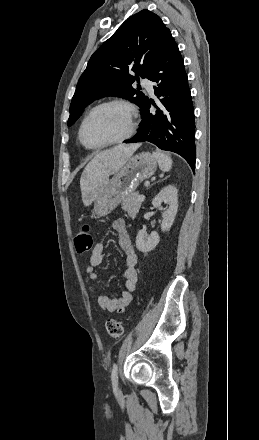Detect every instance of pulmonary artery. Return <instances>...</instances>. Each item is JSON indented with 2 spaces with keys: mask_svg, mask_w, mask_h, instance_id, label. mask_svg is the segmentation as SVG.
<instances>
[{
  "mask_svg": "<svg viewBox=\"0 0 259 440\" xmlns=\"http://www.w3.org/2000/svg\"><path fill=\"white\" fill-rule=\"evenodd\" d=\"M142 85L146 88V90L150 93L153 94L154 89H153V82L151 80H149L148 78H144L142 80Z\"/></svg>",
  "mask_w": 259,
  "mask_h": 440,
  "instance_id": "obj_1",
  "label": "pulmonary artery"
}]
</instances>
